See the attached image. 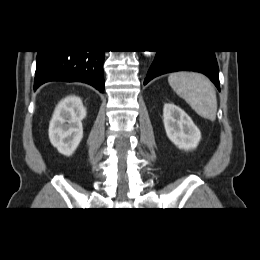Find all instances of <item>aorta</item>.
Listing matches in <instances>:
<instances>
[{
    "label": "aorta",
    "instance_id": "aorta-1",
    "mask_svg": "<svg viewBox=\"0 0 260 260\" xmlns=\"http://www.w3.org/2000/svg\"><path fill=\"white\" fill-rule=\"evenodd\" d=\"M144 54L147 55V56H149V55L152 54V52H151V51H144Z\"/></svg>",
    "mask_w": 260,
    "mask_h": 260
}]
</instances>
